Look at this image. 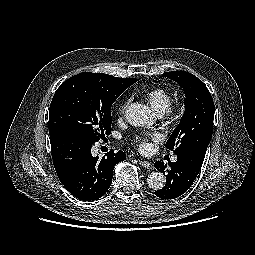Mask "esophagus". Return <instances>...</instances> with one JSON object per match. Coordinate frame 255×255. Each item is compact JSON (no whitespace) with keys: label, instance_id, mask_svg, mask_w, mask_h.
Wrapping results in <instances>:
<instances>
[{"label":"esophagus","instance_id":"34e87169","mask_svg":"<svg viewBox=\"0 0 255 255\" xmlns=\"http://www.w3.org/2000/svg\"><path fill=\"white\" fill-rule=\"evenodd\" d=\"M139 164L147 169H150L152 170L153 169V166L152 164L149 162V161H146V160H140L139 161Z\"/></svg>","mask_w":255,"mask_h":255}]
</instances>
